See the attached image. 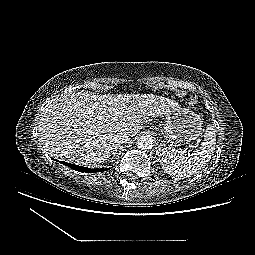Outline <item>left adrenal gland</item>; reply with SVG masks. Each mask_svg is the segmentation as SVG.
<instances>
[{
  "label": "left adrenal gland",
  "instance_id": "obj_1",
  "mask_svg": "<svg viewBox=\"0 0 255 255\" xmlns=\"http://www.w3.org/2000/svg\"><path fill=\"white\" fill-rule=\"evenodd\" d=\"M163 145L161 144V147H162ZM159 151H160V149H159ZM156 155H158V152H157V154ZM159 156V155H158Z\"/></svg>",
  "mask_w": 255,
  "mask_h": 255
}]
</instances>
